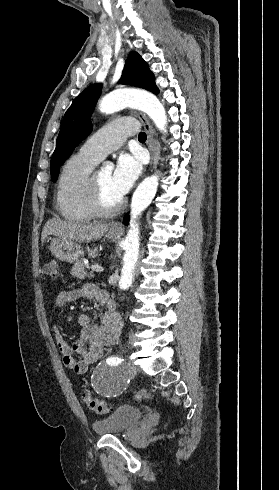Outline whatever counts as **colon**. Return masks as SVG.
I'll return each mask as SVG.
<instances>
[{"instance_id": "5ec220e1", "label": "colon", "mask_w": 279, "mask_h": 490, "mask_svg": "<svg viewBox=\"0 0 279 490\" xmlns=\"http://www.w3.org/2000/svg\"><path fill=\"white\" fill-rule=\"evenodd\" d=\"M41 273L43 276L47 277H57L58 273V262L56 260L48 261L44 264L41 269ZM151 392L147 390H140L136 393L135 398L140 400L144 397H150ZM84 401L89 408V410L97 413V414H108L112 411L111 404L104 399H97L90 394L84 395Z\"/></svg>"}]
</instances>
